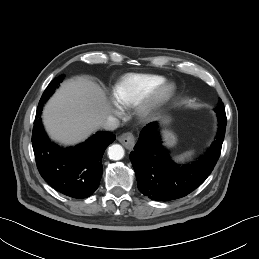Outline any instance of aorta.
<instances>
[{"mask_svg": "<svg viewBox=\"0 0 259 259\" xmlns=\"http://www.w3.org/2000/svg\"><path fill=\"white\" fill-rule=\"evenodd\" d=\"M108 156L112 160H120L124 156V149L119 144H114L108 149Z\"/></svg>", "mask_w": 259, "mask_h": 259, "instance_id": "762f6f07", "label": "aorta"}]
</instances>
